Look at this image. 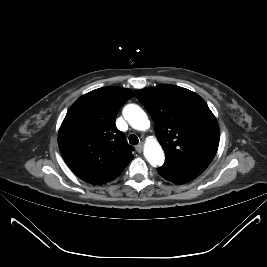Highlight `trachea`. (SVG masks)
Returning <instances> with one entry per match:
<instances>
[{"label": "trachea", "instance_id": "3493384b", "mask_svg": "<svg viewBox=\"0 0 267 267\" xmlns=\"http://www.w3.org/2000/svg\"><path fill=\"white\" fill-rule=\"evenodd\" d=\"M129 143L132 144V145H137L139 143V139L136 135L134 134H131L129 136Z\"/></svg>", "mask_w": 267, "mask_h": 267}]
</instances>
